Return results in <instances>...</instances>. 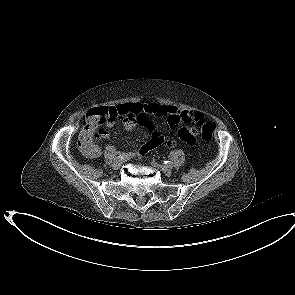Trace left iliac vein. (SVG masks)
<instances>
[{
    "mask_svg": "<svg viewBox=\"0 0 295 295\" xmlns=\"http://www.w3.org/2000/svg\"><path fill=\"white\" fill-rule=\"evenodd\" d=\"M152 165L154 167L160 168L166 175H171L172 174V169L169 166L166 165H160L155 162H152Z\"/></svg>",
    "mask_w": 295,
    "mask_h": 295,
    "instance_id": "obj_1",
    "label": "left iliac vein"
}]
</instances>
